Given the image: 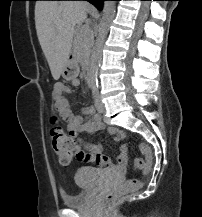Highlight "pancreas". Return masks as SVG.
I'll list each match as a JSON object with an SVG mask.
<instances>
[{
  "instance_id": "cf45deb5",
  "label": "pancreas",
  "mask_w": 202,
  "mask_h": 217,
  "mask_svg": "<svg viewBox=\"0 0 202 217\" xmlns=\"http://www.w3.org/2000/svg\"><path fill=\"white\" fill-rule=\"evenodd\" d=\"M93 44V32L88 26H83L76 30L73 41V49L78 58H87Z\"/></svg>"
}]
</instances>
